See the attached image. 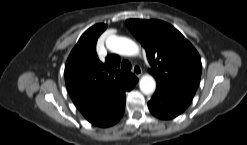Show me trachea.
Wrapping results in <instances>:
<instances>
[{
  "label": "trachea",
  "mask_w": 247,
  "mask_h": 145,
  "mask_svg": "<svg viewBox=\"0 0 247 145\" xmlns=\"http://www.w3.org/2000/svg\"><path fill=\"white\" fill-rule=\"evenodd\" d=\"M132 68V65L129 61L127 60H124L122 63H121V69L123 71H130Z\"/></svg>",
  "instance_id": "trachea-1"
}]
</instances>
